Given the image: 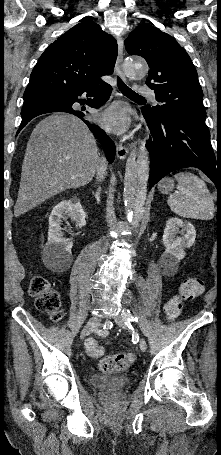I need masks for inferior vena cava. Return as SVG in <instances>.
<instances>
[{
    "instance_id": "602c4592",
    "label": "inferior vena cava",
    "mask_w": 221,
    "mask_h": 455,
    "mask_svg": "<svg viewBox=\"0 0 221 455\" xmlns=\"http://www.w3.org/2000/svg\"><path fill=\"white\" fill-rule=\"evenodd\" d=\"M106 173V166H102L99 173L97 174V181H102L104 179V175Z\"/></svg>"
}]
</instances>
